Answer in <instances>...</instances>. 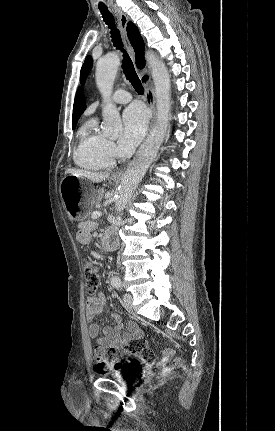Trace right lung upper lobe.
Masks as SVG:
<instances>
[{
  "label": "right lung upper lobe",
  "instance_id": "1",
  "mask_svg": "<svg viewBox=\"0 0 275 431\" xmlns=\"http://www.w3.org/2000/svg\"><path fill=\"white\" fill-rule=\"evenodd\" d=\"M127 35L131 45L135 50L136 64L138 68L141 69L145 66L144 43L137 27L132 22H129L127 25ZM85 108H86V104L84 100L83 91L82 89H79L76 93L74 106H73L72 125L74 124L76 125L78 119L84 112Z\"/></svg>",
  "mask_w": 275,
  "mask_h": 431
}]
</instances>
